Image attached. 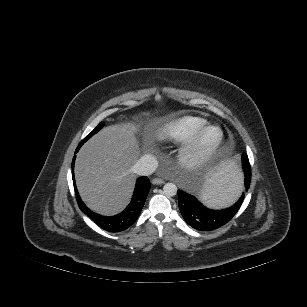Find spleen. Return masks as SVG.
Segmentation results:
<instances>
[{"label": "spleen", "mask_w": 307, "mask_h": 307, "mask_svg": "<svg viewBox=\"0 0 307 307\" xmlns=\"http://www.w3.org/2000/svg\"><path fill=\"white\" fill-rule=\"evenodd\" d=\"M246 172L232 158H223L215 163L203 182L204 200L212 206H224L238 201L246 191Z\"/></svg>", "instance_id": "3e777b00"}]
</instances>
